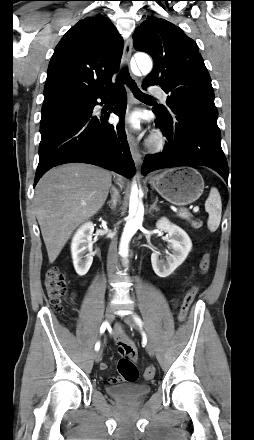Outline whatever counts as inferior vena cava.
I'll use <instances>...</instances> for the list:
<instances>
[{"label": "inferior vena cava", "instance_id": "obj_1", "mask_svg": "<svg viewBox=\"0 0 254 440\" xmlns=\"http://www.w3.org/2000/svg\"><path fill=\"white\" fill-rule=\"evenodd\" d=\"M113 194L114 192H116L117 196L119 194V192L115 189L112 188ZM117 262H118V258H117V242L115 239H112L110 246H109V251H108V256H107V270L110 276H112L116 269H117Z\"/></svg>", "mask_w": 254, "mask_h": 440}]
</instances>
